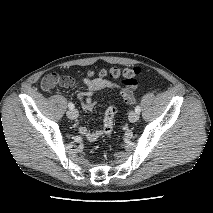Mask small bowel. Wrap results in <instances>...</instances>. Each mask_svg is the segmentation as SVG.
I'll return each mask as SVG.
<instances>
[{
	"instance_id": "obj_1",
	"label": "small bowel",
	"mask_w": 213,
	"mask_h": 213,
	"mask_svg": "<svg viewBox=\"0 0 213 213\" xmlns=\"http://www.w3.org/2000/svg\"><path fill=\"white\" fill-rule=\"evenodd\" d=\"M58 77L60 76L55 73L49 74L44 77L41 84L42 89L44 91H49L58 84L62 86H70L73 84V80H71L70 82H61L58 80ZM81 82L85 87V90L80 92V98L82 100V105L85 110H91L93 108L95 104L93 96L95 93L105 90H114L118 88L115 83L104 78L84 77ZM122 91L123 89L120 91L121 96ZM122 98L123 101L127 104L133 103L135 101L134 89H132V93L129 98H125L123 96ZM79 132L84 135L89 141H95L101 135L100 131H90L87 130L85 127H80Z\"/></svg>"
}]
</instances>
